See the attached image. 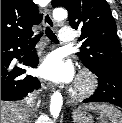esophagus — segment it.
Wrapping results in <instances>:
<instances>
[{
	"label": "esophagus",
	"instance_id": "esophagus-1",
	"mask_svg": "<svg viewBox=\"0 0 122 123\" xmlns=\"http://www.w3.org/2000/svg\"><path fill=\"white\" fill-rule=\"evenodd\" d=\"M43 24H44V26L50 27V28L54 27V25H55L54 20L51 16V13H50L49 10H47L46 13L43 16ZM42 87L45 90L54 91V86L50 82L43 81L42 82Z\"/></svg>",
	"mask_w": 122,
	"mask_h": 123
}]
</instances>
